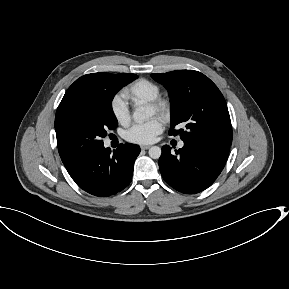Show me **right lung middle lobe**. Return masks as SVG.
<instances>
[{
    "label": "right lung middle lobe",
    "mask_w": 289,
    "mask_h": 289,
    "mask_svg": "<svg viewBox=\"0 0 289 289\" xmlns=\"http://www.w3.org/2000/svg\"><path fill=\"white\" fill-rule=\"evenodd\" d=\"M135 74H112L93 90L86 102L56 112L55 130L58 151L64 165L74 162L103 145L108 130H114L117 119L112 111L114 95L135 80Z\"/></svg>",
    "instance_id": "obj_1"
}]
</instances>
